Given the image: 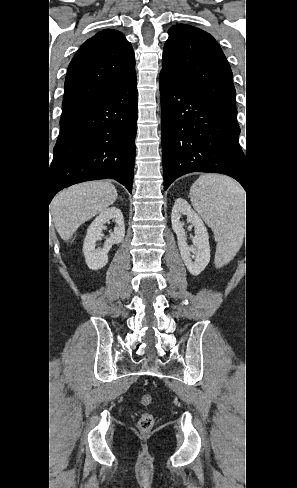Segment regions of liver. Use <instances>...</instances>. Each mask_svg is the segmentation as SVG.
Masks as SVG:
<instances>
[{
  "mask_svg": "<svg viewBox=\"0 0 297 488\" xmlns=\"http://www.w3.org/2000/svg\"><path fill=\"white\" fill-rule=\"evenodd\" d=\"M117 196L115 186L109 181L76 184L57 194L50 211L60 237L70 240L79 226L106 210Z\"/></svg>",
  "mask_w": 297,
  "mask_h": 488,
  "instance_id": "6515ba94",
  "label": "liver"
}]
</instances>
